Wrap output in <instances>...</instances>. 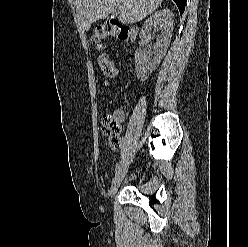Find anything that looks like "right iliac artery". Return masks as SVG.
Instances as JSON below:
<instances>
[{
    "mask_svg": "<svg viewBox=\"0 0 248 247\" xmlns=\"http://www.w3.org/2000/svg\"><path fill=\"white\" fill-rule=\"evenodd\" d=\"M121 165H122V160H120V161L117 163V165H116V168H115V175L120 171Z\"/></svg>",
    "mask_w": 248,
    "mask_h": 247,
    "instance_id": "obj_1",
    "label": "right iliac artery"
}]
</instances>
